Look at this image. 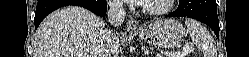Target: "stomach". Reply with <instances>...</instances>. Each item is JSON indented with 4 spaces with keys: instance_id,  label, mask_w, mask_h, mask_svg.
Masks as SVG:
<instances>
[{
    "instance_id": "1",
    "label": "stomach",
    "mask_w": 249,
    "mask_h": 57,
    "mask_svg": "<svg viewBox=\"0 0 249 57\" xmlns=\"http://www.w3.org/2000/svg\"><path fill=\"white\" fill-rule=\"evenodd\" d=\"M136 34L142 41L148 44L172 48L182 41L185 35V28L176 19H160L145 26Z\"/></svg>"
}]
</instances>
